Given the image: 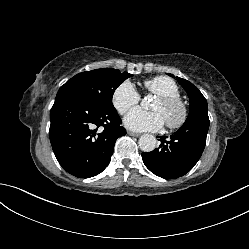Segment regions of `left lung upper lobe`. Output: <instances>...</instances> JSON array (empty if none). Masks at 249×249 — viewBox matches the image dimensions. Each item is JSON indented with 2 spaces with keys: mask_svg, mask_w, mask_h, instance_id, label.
<instances>
[{
  "mask_svg": "<svg viewBox=\"0 0 249 249\" xmlns=\"http://www.w3.org/2000/svg\"><path fill=\"white\" fill-rule=\"evenodd\" d=\"M169 75L174 77L172 74ZM176 79L187 92L190 101L189 115L184 124L193 122L200 118L209 119L207 101L198 88L185 79L180 77H177Z\"/></svg>",
  "mask_w": 249,
  "mask_h": 249,
  "instance_id": "5c2ea615",
  "label": "left lung upper lobe"
}]
</instances>
